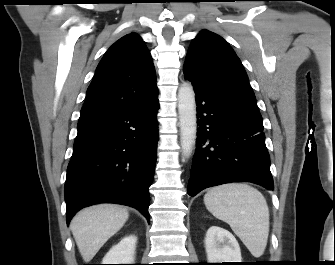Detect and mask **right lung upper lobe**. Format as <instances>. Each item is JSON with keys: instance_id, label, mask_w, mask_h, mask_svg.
<instances>
[{"instance_id": "right-lung-upper-lobe-1", "label": "right lung upper lobe", "mask_w": 335, "mask_h": 265, "mask_svg": "<svg viewBox=\"0 0 335 265\" xmlns=\"http://www.w3.org/2000/svg\"><path fill=\"white\" fill-rule=\"evenodd\" d=\"M157 96L151 55L139 35L130 33L116 41L100 61L79 120L137 108Z\"/></svg>"}]
</instances>
